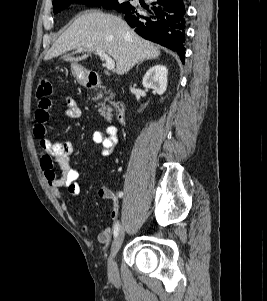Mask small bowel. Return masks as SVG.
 Returning a JSON list of instances; mask_svg holds the SVG:
<instances>
[{
    "label": "small bowel",
    "instance_id": "small-bowel-1",
    "mask_svg": "<svg viewBox=\"0 0 267 301\" xmlns=\"http://www.w3.org/2000/svg\"><path fill=\"white\" fill-rule=\"evenodd\" d=\"M66 111L65 116L68 118H78L81 115V109L76 101L70 96L65 97ZM51 100L40 98L39 103L34 112L33 134L38 140L42 149L40 157V167L47 184L55 195H60L62 188L66 189L72 196L80 193L79 171L72 165L71 156L74 148L71 142H51L46 137V123L49 120ZM92 141L101 146V154L104 157L109 156L118 144L117 128L108 126L104 132H94ZM55 165L61 169V175L58 176L54 170ZM98 196L102 199H108L112 202L111 218L112 224L99 232L96 239L101 244H107L110 241L114 231L115 224L119 218V207L112 191L107 187L98 189ZM81 229L92 234V230L86 224H81Z\"/></svg>",
    "mask_w": 267,
    "mask_h": 301
}]
</instances>
